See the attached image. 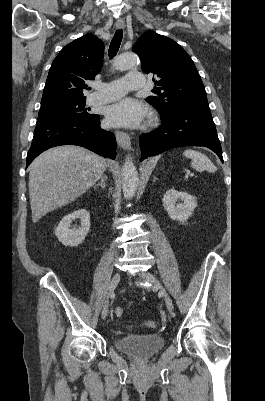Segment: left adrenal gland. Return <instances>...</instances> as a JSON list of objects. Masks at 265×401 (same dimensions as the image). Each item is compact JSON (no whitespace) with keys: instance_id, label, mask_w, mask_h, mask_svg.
Wrapping results in <instances>:
<instances>
[{"instance_id":"left-adrenal-gland-1","label":"left adrenal gland","mask_w":265,"mask_h":401,"mask_svg":"<svg viewBox=\"0 0 265 401\" xmlns=\"http://www.w3.org/2000/svg\"><path fill=\"white\" fill-rule=\"evenodd\" d=\"M156 178H157V176H153V182H155Z\"/></svg>"}]
</instances>
